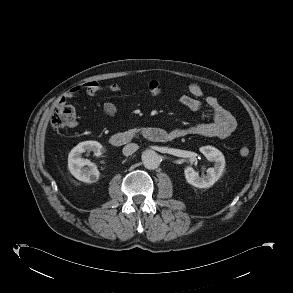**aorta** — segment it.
<instances>
[{"label":"aorta","mask_w":293,"mask_h":293,"mask_svg":"<svg viewBox=\"0 0 293 293\" xmlns=\"http://www.w3.org/2000/svg\"><path fill=\"white\" fill-rule=\"evenodd\" d=\"M142 162L147 169H156L160 164L159 155L153 150H145L142 153Z\"/></svg>","instance_id":"1"}]
</instances>
